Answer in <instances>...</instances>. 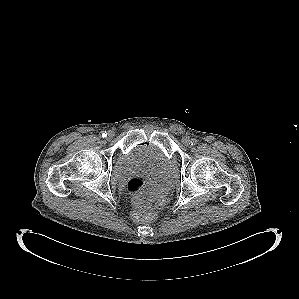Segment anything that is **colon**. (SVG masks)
<instances>
[{
  "instance_id": "colon-1",
  "label": "colon",
  "mask_w": 299,
  "mask_h": 299,
  "mask_svg": "<svg viewBox=\"0 0 299 299\" xmlns=\"http://www.w3.org/2000/svg\"><path fill=\"white\" fill-rule=\"evenodd\" d=\"M149 182L143 175H135L128 180V191L133 195V202L135 205L134 215L137 218L147 219L153 215L154 208L149 202L146 190Z\"/></svg>"
}]
</instances>
